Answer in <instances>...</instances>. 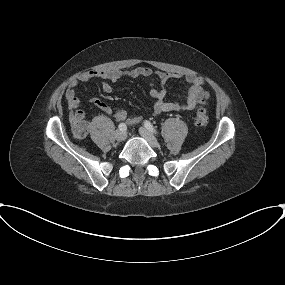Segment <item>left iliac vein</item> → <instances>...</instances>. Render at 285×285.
Listing matches in <instances>:
<instances>
[{
	"label": "left iliac vein",
	"instance_id": "4c4485c4",
	"mask_svg": "<svg viewBox=\"0 0 285 285\" xmlns=\"http://www.w3.org/2000/svg\"><path fill=\"white\" fill-rule=\"evenodd\" d=\"M139 133L144 139H146V141L149 143L151 147H157L159 145L155 136L146 128L140 127Z\"/></svg>",
	"mask_w": 285,
	"mask_h": 285
}]
</instances>
